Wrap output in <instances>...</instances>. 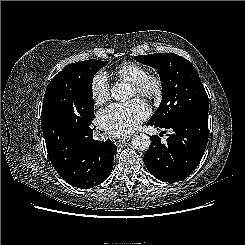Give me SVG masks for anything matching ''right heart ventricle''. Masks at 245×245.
<instances>
[{
  "instance_id": "right-heart-ventricle-1",
  "label": "right heart ventricle",
  "mask_w": 245,
  "mask_h": 245,
  "mask_svg": "<svg viewBox=\"0 0 245 245\" xmlns=\"http://www.w3.org/2000/svg\"><path fill=\"white\" fill-rule=\"evenodd\" d=\"M148 73L147 68L137 62H124L112 71V77L117 81L132 83Z\"/></svg>"
}]
</instances>
